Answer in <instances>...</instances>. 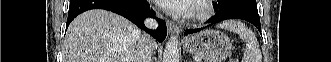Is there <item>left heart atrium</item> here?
<instances>
[{
    "mask_svg": "<svg viewBox=\"0 0 331 62\" xmlns=\"http://www.w3.org/2000/svg\"><path fill=\"white\" fill-rule=\"evenodd\" d=\"M194 0H157V4L174 14L190 15L194 10Z\"/></svg>",
    "mask_w": 331,
    "mask_h": 62,
    "instance_id": "left-heart-atrium-1",
    "label": "left heart atrium"
}]
</instances>
